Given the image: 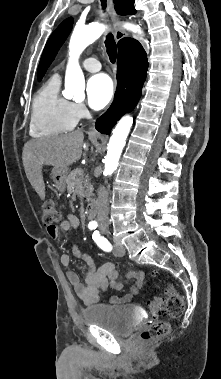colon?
I'll list each match as a JSON object with an SVG mask.
<instances>
[{"mask_svg": "<svg viewBox=\"0 0 221 379\" xmlns=\"http://www.w3.org/2000/svg\"><path fill=\"white\" fill-rule=\"evenodd\" d=\"M60 219V212L53 201H47L42 209V222L47 228H54ZM150 310L153 315L166 313L171 317H179L184 310L183 298L168 284L165 289L164 297H155L150 301ZM170 324L164 320L153 321L140 334L141 340L145 342L155 341L168 335Z\"/></svg>", "mask_w": 221, "mask_h": 379, "instance_id": "1", "label": "colon"}]
</instances>
